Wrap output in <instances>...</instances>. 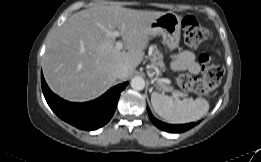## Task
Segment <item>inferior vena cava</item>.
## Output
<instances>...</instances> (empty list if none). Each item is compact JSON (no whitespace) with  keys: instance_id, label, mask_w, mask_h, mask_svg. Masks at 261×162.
Masks as SVG:
<instances>
[{"instance_id":"602c4592","label":"inferior vena cava","mask_w":261,"mask_h":162,"mask_svg":"<svg viewBox=\"0 0 261 162\" xmlns=\"http://www.w3.org/2000/svg\"><path fill=\"white\" fill-rule=\"evenodd\" d=\"M113 74L115 77L121 79L128 74V68L125 65H120L114 68Z\"/></svg>"}]
</instances>
